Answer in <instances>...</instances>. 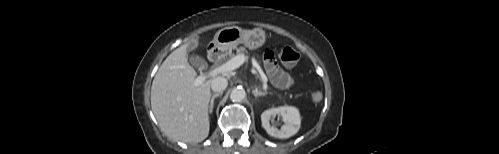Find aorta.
Instances as JSON below:
<instances>
[{
	"label": "aorta",
	"mask_w": 499,
	"mask_h": 154,
	"mask_svg": "<svg viewBox=\"0 0 499 154\" xmlns=\"http://www.w3.org/2000/svg\"><path fill=\"white\" fill-rule=\"evenodd\" d=\"M245 96H246L245 90L243 88L237 87L231 91L230 99L233 102H241L244 100Z\"/></svg>",
	"instance_id": "762f6f07"
}]
</instances>
